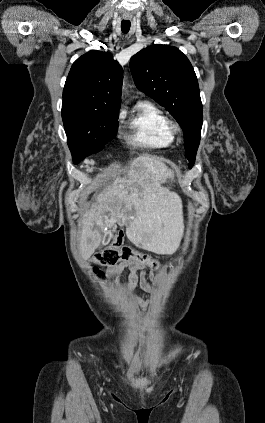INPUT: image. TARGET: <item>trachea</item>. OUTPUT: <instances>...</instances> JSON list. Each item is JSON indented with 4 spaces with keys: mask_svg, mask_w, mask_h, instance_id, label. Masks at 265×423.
Listing matches in <instances>:
<instances>
[{
    "mask_svg": "<svg viewBox=\"0 0 265 423\" xmlns=\"http://www.w3.org/2000/svg\"><path fill=\"white\" fill-rule=\"evenodd\" d=\"M131 22L129 20H123L121 22V30L124 34L128 33L130 30Z\"/></svg>",
    "mask_w": 265,
    "mask_h": 423,
    "instance_id": "trachea-1",
    "label": "trachea"
}]
</instances>
